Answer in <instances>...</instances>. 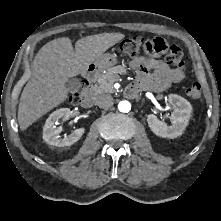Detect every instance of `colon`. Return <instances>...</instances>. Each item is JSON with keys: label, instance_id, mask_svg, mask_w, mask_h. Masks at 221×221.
Listing matches in <instances>:
<instances>
[{"label": "colon", "instance_id": "colon-1", "mask_svg": "<svg viewBox=\"0 0 221 221\" xmlns=\"http://www.w3.org/2000/svg\"><path fill=\"white\" fill-rule=\"evenodd\" d=\"M121 50L130 57H135L141 50L158 53L167 51L168 61L180 71H184L185 69L183 52L181 48L177 45H168L166 41L160 37L147 39L143 36L136 35L124 40L121 43ZM187 94L192 100L200 101L202 99L200 84L193 83L187 89ZM70 100L74 103L81 102L80 91L73 93Z\"/></svg>", "mask_w": 221, "mask_h": 221}]
</instances>
